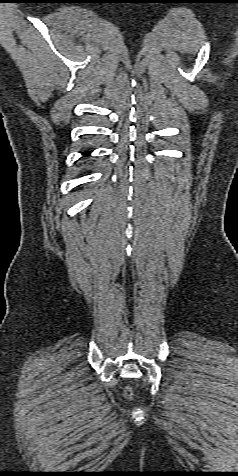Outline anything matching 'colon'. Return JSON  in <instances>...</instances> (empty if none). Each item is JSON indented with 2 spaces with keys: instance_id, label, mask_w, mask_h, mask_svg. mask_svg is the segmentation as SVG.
<instances>
[{
  "instance_id": "colon-1",
  "label": "colon",
  "mask_w": 238,
  "mask_h": 476,
  "mask_svg": "<svg viewBox=\"0 0 238 476\" xmlns=\"http://www.w3.org/2000/svg\"><path fill=\"white\" fill-rule=\"evenodd\" d=\"M126 395H127V396H130V395H131V391H130L129 388L126 389Z\"/></svg>"
}]
</instances>
